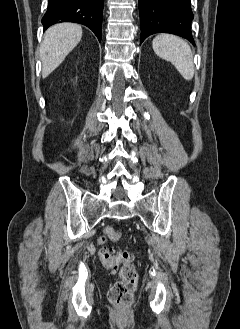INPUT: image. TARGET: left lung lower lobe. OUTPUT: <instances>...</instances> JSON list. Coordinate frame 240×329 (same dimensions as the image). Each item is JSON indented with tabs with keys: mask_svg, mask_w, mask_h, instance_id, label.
<instances>
[{
	"mask_svg": "<svg viewBox=\"0 0 240 329\" xmlns=\"http://www.w3.org/2000/svg\"><path fill=\"white\" fill-rule=\"evenodd\" d=\"M141 43L154 33H171L194 44L190 0H139Z\"/></svg>",
	"mask_w": 240,
	"mask_h": 329,
	"instance_id": "obj_1",
	"label": "left lung lower lobe"
}]
</instances>
